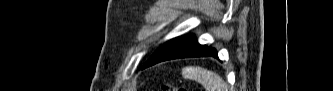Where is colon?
Wrapping results in <instances>:
<instances>
[{
	"label": "colon",
	"instance_id": "5ec220e1",
	"mask_svg": "<svg viewBox=\"0 0 333 91\" xmlns=\"http://www.w3.org/2000/svg\"><path fill=\"white\" fill-rule=\"evenodd\" d=\"M163 90L166 91H186V88L180 87V86H171V85H166L163 87Z\"/></svg>",
	"mask_w": 333,
	"mask_h": 91
}]
</instances>
